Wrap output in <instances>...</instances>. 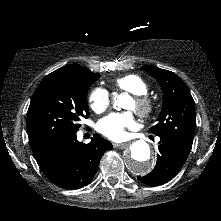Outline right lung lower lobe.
<instances>
[{
    "instance_id": "1",
    "label": "right lung lower lobe",
    "mask_w": 221,
    "mask_h": 221,
    "mask_svg": "<svg viewBox=\"0 0 221 221\" xmlns=\"http://www.w3.org/2000/svg\"><path fill=\"white\" fill-rule=\"evenodd\" d=\"M113 146L97 134L91 142L77 141L76 132H66L31 146L35 159L47 178L59 187L78 189L95 176L102 155Z\"/></svg>"
}]
</instances>
